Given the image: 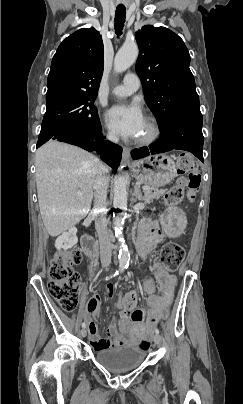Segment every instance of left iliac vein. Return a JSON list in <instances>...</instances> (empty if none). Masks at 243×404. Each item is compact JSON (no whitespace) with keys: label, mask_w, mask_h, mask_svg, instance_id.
Masks as SVG:
<instances>
[{"label":"left iliac vein","mask_w":243,"mask_h":404,"mask_svg":"<svg viewBox=\"0 0 243 404\" xmlns=\"http://www.w3.org/2000/svg\"><path fill=\"white\" fill-rule=\"evenodd\" d=\"M155 344L159 345L161 343V337L159 334H155L153 337Z\"/></svg>","instance_id":"obj_1"}]
</instances>
